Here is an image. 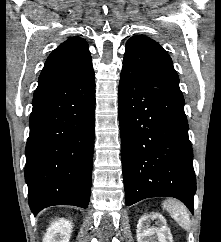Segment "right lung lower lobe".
I'll return each instance as SVG.
<instances>
[{
  "instance_id": "98d812e1",
  "label": "right lung lower lobe",
  "mask_w": 221,
  "mask_h": 242,
  "mask_svg": "<svg viewBox=\"0 0 221 242\" xmlns=\"http://www.w3.org/2000/svg\"><path fill=\"white\" fill-rule=\"evenodd\" d=\"M25 154L29 205L86 208L91 193L95 121L94 72L34 95Z\"/></svg>"
}]
</instances>
